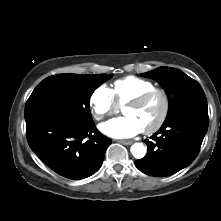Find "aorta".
I'll return each mask as SVG.
<instances>
[{
    "label": "aorta",
    "mask_w": 221,
    "mask_h": 221,
    "mask_svg": "<svg viewBox=\"0 0 221 221\" xmlns=\"http://www.w3.org/2000/svg\"><path fill=\"white\" fill-rule=\"evenodd\" d=\"M130 151L135 158L141 159L146 155L147 150H146V147L142 143H134L131 146Z\"/></svg>",
    "instance_id": "1"
}]
</instances>
